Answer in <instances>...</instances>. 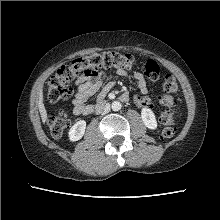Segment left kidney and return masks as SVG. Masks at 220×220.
Returning a JSON list of instances; mask_svg holds the SVG:
<instances>
[{
    "instance_id": "obj_1",
    "label": "left kidney",
    "mask_w": 220,
    "mask_h": 220,
    "mask_svg": "<svg viewBox=\"0 0 220 220\" xmlns=\"http://www.w3.org/2000/svg\"><path fill=\"white\" fill-rule=\"evenodd\" d=\"M141 118L147 128L152 130L157 128V121L155 118V114L151 109L143 108L141 111Z\"/></svg>"
}]
</instances>
